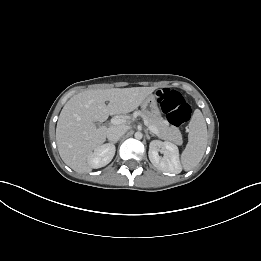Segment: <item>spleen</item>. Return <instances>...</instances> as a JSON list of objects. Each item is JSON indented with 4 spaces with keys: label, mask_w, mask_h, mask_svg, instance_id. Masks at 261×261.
Listing matches in <instances>:
<instances>
[{
    "label": "spleen",
    "mask_w": 261,
    "mask_h": 261,
    "mask_svg": "<svg viewBox=\"0 0 261 261\" xmlns=\"http://www.w3.org/2000/svg\"><path fill=\"white\" fill-rule=\"evenodd\" d=\"M189 127V141L181 154V163L186 171L199 164L207 146V126L199 110L194 112Z\"/></svg>",
    "instance_id": "spleen-1"
}]
</instances>
